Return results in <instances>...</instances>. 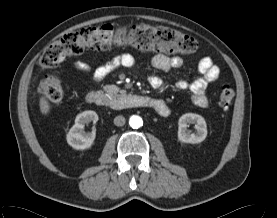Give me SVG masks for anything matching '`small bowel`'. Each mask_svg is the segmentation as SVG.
I'll use <instances>...</instances> for the list:
<instances>
[{
  "label": "small bowel",
  "mask_w": 277,
  "mask_h": 218,
  "mask_svg": "<svg viewBox=\"0 0 277 218\" xmlns=\"http://www.w3.org/2000/svg\"><path fill=\"white\" fill-rule=\"evenodd\" d=\"M184 60L181 56H166L157 54L152 59V65L160 70L176 69L183 66ZM135 64V58L132 54L125 53L115 57L113 60L102 64L96 68H92L84 61H75L73 68L83 74L90 75L94 82H99L107 77L115 68L119 66L132 67ZM198 71L201 76L189 82L185 79H179L175 83V87L181 91H189L193 103L201 108L208 105L207 87L210 83L216 81L220 77V69L216 66L211 58L203 57L198 63ZM149 85L158 89L162 87L163 81L158 76H150L148 79ZM162 101V100H161ZM164 115L168 111L167 104L162 101V106L157 110Z\"/></svg>",
  "instance_id": "obj_1"
}]
</instances>
